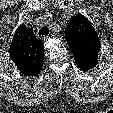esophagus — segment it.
Instances as JSON below:
<instances>
[{
  "instance_id": "obj_1",
  "label": "esophagus",
  "mask_w": 113,
  "mask_h": 113,
  "mask_svg": "<svg viewBox=\"0 0 113 113\" xmlns=\"http://www.w3.org/2000/svg\"><path fill=\"white\" fill-rule=\"evenodd\" d=\"M55 35L54 34H50L49 36H47V37H44L43 39L44 40H48V39H51V38H53Z\"/></svg>"
}]
</instances>
